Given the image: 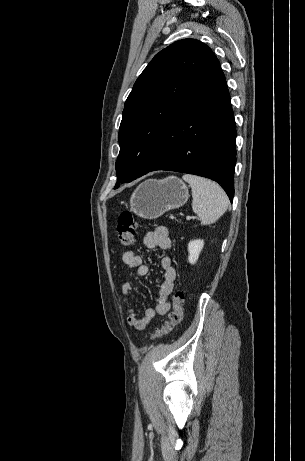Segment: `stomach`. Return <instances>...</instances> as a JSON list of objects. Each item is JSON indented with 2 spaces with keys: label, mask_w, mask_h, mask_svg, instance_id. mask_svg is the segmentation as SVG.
I'll use <instances>...</instances> for the list:
<instances>
[{
  "label": "stomach",
  "mask_w": 305,
  "mask_h": 461,
  "mask_svg": "<svg viewBox=\"0 0 305 461\" xmlns=\"http://www.w3.org/2000/svg\"><path fill=\"white\" fill-rule=\"evenodd\" d=\"M189 198L186 184L175 176L142 182L130 198L131 210L141 218L156 219L183 206Z\"/></svg>",
  "instance_id": "0dacf381"
}]
</instances>
